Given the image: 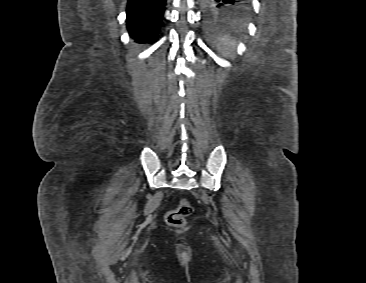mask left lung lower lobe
Segmentation results:
<instances>
[{
    "instance_id": "1",
    "label": "left lung lower lobe",
    "mask_w": 366,
    "mask_h": 283,
    "mask_svg": "<svg viewBox=\"0 0 366 283\" xmlns=\"http://www.w3.org/2000/svg\"><path fill=\"white\" fill-rule=\"evenodd\" d=\"M251 0H200L203 9L211 15H229L249 6Z\"/></svg>"
}]
</instances>
